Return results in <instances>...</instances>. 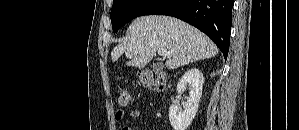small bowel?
I'll list each match as a JSON object with an SVG mask.
<instances>
[{"label": "small bowel", "mask_w": 299, "mask_h": 130, "mask_svg": "<svg viewBox=\"0 0 299 130\" xmlns=\"http://www.w3.org/2000/svg\"><path fill=\"white\" fill-rule=\"evenodd\" d=\"M126 111L124 109H119L116 111L115 113V119L116 121H120L122 120V118L124 117ZM130 115L134 118L139 119L141 117L140 112L137 109H132L130 111ZM121 130H133L130 126H123L121 128Z\"/></svg>", "instance_id": "small-bowel-1"}]
</instances>
